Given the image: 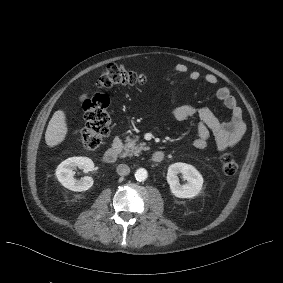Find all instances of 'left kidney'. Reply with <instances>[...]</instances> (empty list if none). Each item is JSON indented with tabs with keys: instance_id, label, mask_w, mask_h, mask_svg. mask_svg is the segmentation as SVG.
<instances>
[{
	"instance_id": "left-kidney-1",
	"label": "left kidney",
	"mask_w": 283,
	"mask_h": 283,
	"mask_svg": "<svg viewBox=\"0 0 283 283\" xmlns=\"http://www.w3.org/2000/svg\"><path fill=\"white\" fill-rule=\"evenodd\" d=\"M182 174L187 181L180 184L178 174ZM203 177L200 172L192 165L186 163H174L168 168L167 182L170 185L171 192L178 198H193L202 189Z\"/></svg>"
}]
</instances>
